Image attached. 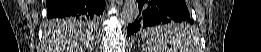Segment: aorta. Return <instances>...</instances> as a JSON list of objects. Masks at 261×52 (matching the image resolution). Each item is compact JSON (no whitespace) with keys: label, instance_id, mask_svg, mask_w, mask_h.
Masks as SVG:
<instances>
[{"label":"aorta","instance_id":"762f6f07","mask_svg":"<svg viewBox=\"0 0 261 52\" xmlns=\"http://www.w3.org/2000/svg\"><path fill=\"white\" fill-rule=\"evenodd\" d=\"M139 15L138 2L136 0H125L121 19L126 23H134Z\"/></svg>","mask_w":261,"mask_h":52}]
</instances>
